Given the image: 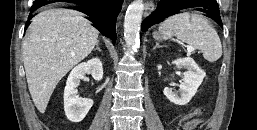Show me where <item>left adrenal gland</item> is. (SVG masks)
Returning <instances> with one entry per match:
<instances>
[{
	"instance_id": "left-adrenal-gland-1",
	"label": "left adrenal gland",
	"mask_w": 257,
	"mask_h": 130,
	"mask_svg": "<svg viewBox=\"0 0 257 130\" xmlns=\"http://www.w3.org/2000/svg\"><path fill=\"white\" fill-rule=\"evenodd\" d=\"M162 47H163V46H160L159 43H156L153 49L162 48Z\"/></svg>"
}]
</instances>
